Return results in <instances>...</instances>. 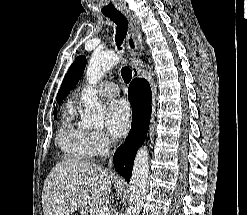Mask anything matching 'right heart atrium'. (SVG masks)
Here are the masks:
<instances>
[{
    "label": "right heart atrium",
    "instance_id": "obj_1",
    "mask_svg": "<svg viewBox=\"0 0 247 215\" xmlns=\"http://www.w3.org/2000/svg\"><path fill=\"white\" fill-rule=\"evenodd\" d=\"M91 143L94 154L104 155L108 152L111 141L108 135L102 131L91 132Z\"/></svg>",
    "mask_w": 247,
    "mask_h": 215
}]
</instances>
